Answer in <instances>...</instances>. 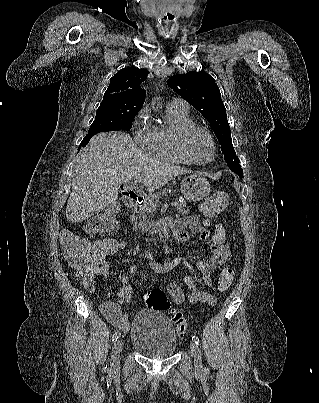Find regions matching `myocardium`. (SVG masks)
I'll use <instances>...</instances> for the list:
<instances>
[{"mask_svg":"<svg viewBox=\"0 0 319 403\" xmlns=\"http://www.w3.org/2000/svg\"><path fill=\"white\" fill-rule=\"evenodd\" d=\"M197 131L204 133L211 142V145L213 148V154H212V157L207 161H199V160L195 159L191 155V153L188 149L189 137L194 132H197ZM177 148H178L179 153L182 155V157H184L190 163L197 164V165L209 164L212 161H214V159L216 158V155H217V145H216L215 139H214L213 135L211 134V132L206 127L195 124V123L184 126L179 131L178 136H177Z\"/></svg>","mask_w":319,"mask_h":403,"instance_id":"f54148a6","label":"myocardium"}]
</instances>
